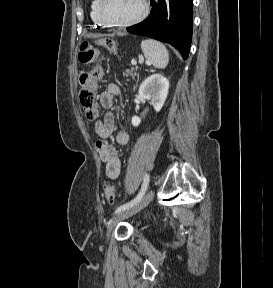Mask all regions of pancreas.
<instances>
[{"instance_id":"obj_1","label":"pancreas","mask_w":273,"mask_h":288,"mask_svg":"<svg viewBox=\"0 0 273 288\" xmlns=\"http://www.w3.org/2000/svg\"><path fill=\"white\" fill-rule=\"evenodd\" d=\"M135 71H136V68L127 69L125 72H123V76H130L134 78L136 75Z\"/></svg>"}]
</instances>
